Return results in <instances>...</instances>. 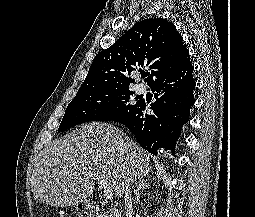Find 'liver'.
<instances>
[{
	"label": "liver",
	"instance_id": "obj_1",
	"mask_svg": "<svg viewBox=\"0 0 255 217\" xmlns=\"http://www.w3.org/2000/svg\"><path fill=\"white\" fill-rule=\"evenodd\" d=\"M150 155L111 124L89 123L44 148L31 176L35 200L54 207L84 202L104 178L122 198L126 184L148 175ZM69 174H66V173Z\"/></svg>",
	"mask_w": 255,
	"mask_h": 217
}]
</instances>
